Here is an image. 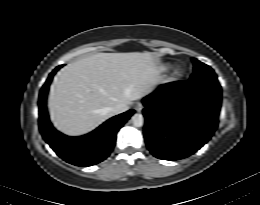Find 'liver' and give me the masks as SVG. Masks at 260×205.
I'll return each instance as SVG.
<instances>
[{
	"mask_svg": "<svg viewBox=\"0 0 260 205\" xmlns=\"http://www.w3.org/2000/svg\"><path fill=\"white\" fill-rule=\"evenodd\" d=\"M160 79L151 52L98 53L65 66L56 76L49 111L61 132L79 136L112 117L110 108L150 94Z\"/></svg>",
	"mask_w": 260,
	"mask_h": 205,
	"instance_id": "1",
	"label": "liver"
}]
</instances>
